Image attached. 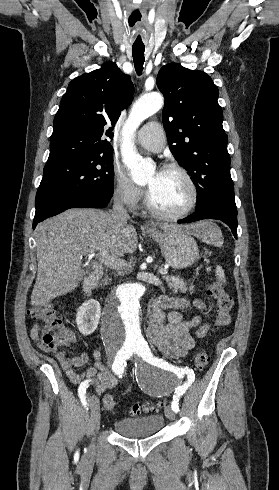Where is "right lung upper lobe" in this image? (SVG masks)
Listing matches in <instances>:
<instances>
[{
    "label": "right lung upper lobe",
    "instance_id": "1",
    "mask_svg": "<svg viewBox=\"0 0 279 490\" xmlns=\"http://www.w3.org/2000/svg\"><path fill=\"white\" fill-rule=\"evenodd\" d=\"M133 93L130 77L113 62L73 79L54 118L47 162L112 149L103 139L113 137L112 129L104 126L114 127Z\"/></svg>",
    "mask_w": 279,
    "mask_h": 490
}]
</instances>
